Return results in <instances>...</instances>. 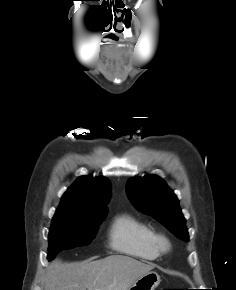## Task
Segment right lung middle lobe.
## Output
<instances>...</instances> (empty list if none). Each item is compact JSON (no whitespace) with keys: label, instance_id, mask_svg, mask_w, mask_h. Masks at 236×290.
Listing matches in <instances>:
<instances>
[{"label":"right lung middle lobe","instance_id":"1","mask_svg":"<svg viewBox=\"0 0 236 290\" xmlns=\"http://www.w3.org/2000/svg\"><path fill=\"white\" fill-rule=\"evenodd\" d=\"M104 216L105 214L81 218L54 216L48 236V260H52L61 250L89 244Z\"/></svg>","mask_w":236,"mask_h":290}]
</instances>
